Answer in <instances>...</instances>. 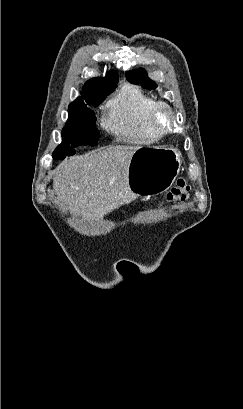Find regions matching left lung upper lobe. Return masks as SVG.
<instances>
[{"label":"left lung upper lobe","instance_id":"5c2ea615","mask_svg":"<svg viewBox=\"0 0 243 409\" xmlns=\"http://www.w3.org/2000/svg\"><path fill=\"white\" fill-rule=\"evenodd\" d=\"M126 77L133 84H142L150 89L157 87V85L148 78L147 73L144 69L127 71Z\"/></svg>","mask_w":243,"mask_h":409}]
</instances>
